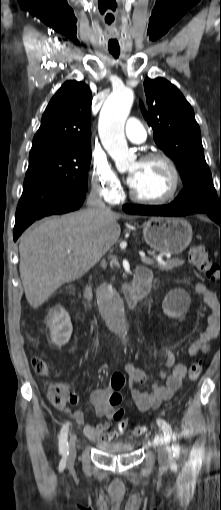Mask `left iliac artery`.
<instances>
[{
	"label": "left iliac artery",
	"mask_w": 221,
	"mask_h": 510,
	"mask_svg": "<svg viewBox=\"0 0 221 510\" xmlns=\"http://www.w3.org/2000/svg\"><path fill=\"white\" fill-rule=\"evenodd\" d=\"M157 424L163 431L164 440L167 444L170 443L171 439L173 440L172 450L177 453L180 450V447L177 443L176 435L173 433L171 426L163 419H157ZM169 450V447H167Z\"/></svg>",
	"instance_id": "left-iliac-artery-1"
}]
</instances>
